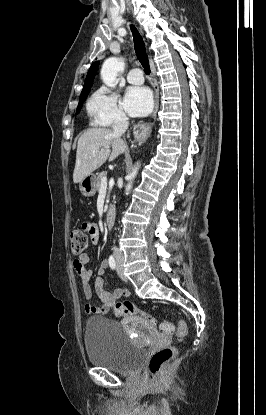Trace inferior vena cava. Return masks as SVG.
<instances>
[{"mask_svg":"<svg viewBox=\"0 0 266 415\" xmlns=\"http://www.w3.org/2000/svg\"><path fill=\"white\" fill-rule=\"evenodd\" d=\"M128 126H129V122H128V118L126 117V115L124 114L119 115L113 124L114 135L119 136V137L122 136L127 130ZM113 255L116 258H121L123 256L122 252L115 246L113 247Z\"/></svg>","mask_w":266,"mask_h":415,"instance_id":"obj_1","label":"inferior vena cava"}]
</instances>
